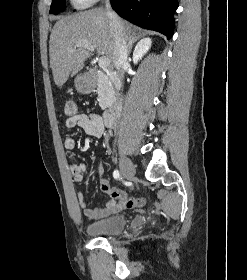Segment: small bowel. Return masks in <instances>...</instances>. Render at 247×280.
<instances>
[{
  "instance_id": "small-bowel-1",
  "label": "small bowel",
  "mask_w": 247,
  "mask_h": 280,
  "mask_svg": "<svg viewBox=\"0 0 247 280\" xmlns=\"http://www.w3.org/2000/svg\"><path fill=\"white\" fill-rule=\"evenodd\" d=\"M65 126L67 129L80 127L86 134L93 137H101L105 133V122L103 116L98 112L71 116L66 120ZM64 146L69 150L74 149L76 147L75 139L72 136H67L64 140ZM71 170L76 182L85 180L86 166L84 164H77L74 162L71 164ZM96 171L97 174L100 175L102 173L101 166H98ZM100 189L109 195L110 200L104 207L95 209L88 207V200L84 192H77L79 206L83 210L85 217L90 220L102 219L128 208L140 207L145 203L144 199L129 197L123 190L111 187L109 181L103 178L100 179ZM134 200L137 201L136 205L131 204Z\"/></svg>"
}]
</instances>
